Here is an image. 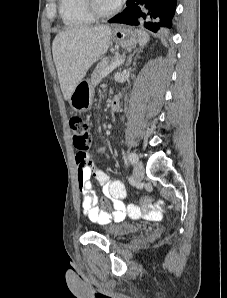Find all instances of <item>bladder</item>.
<instances>
[{"label":"bladder","mask_w":227,"mask_h":298,"mask_svg":"<svg viewBox=\"0 0 227 298\" xmlns=\"http://www.w3.org/2000/svg\"><path fill=\"white\" fill-rule=\"evenodd\" d=\"M141 227L131 222H109L100 224L97 230L108 237H120L123 235L134 233L140 230Z\"/></svg>","instance_id":"31cf9c89"}]
</instances>
